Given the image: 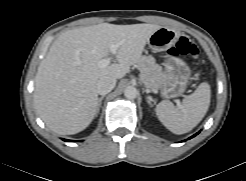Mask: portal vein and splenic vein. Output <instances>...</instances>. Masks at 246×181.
<instances>
[{"mask_svg": "<svg viewBox=\"0 0 246 181\" xmlns=\"http://www.w3.org/2000/svg\"><path fill=\"white\" fill-rule=\"evenodd\" d=\"M118 48H119V44H111L110 45L111 55L109 57H107V58L101 59L98 62L99 67H106V66H108L111 63V61L113 59V56L116 54Z\"/></svg>", "mask_w": 246, "mask_h": 181, "instance_id": "portal-vein-and-splenic-vein-1", "label": "portal vein and splenic vein"}]
</instances>
